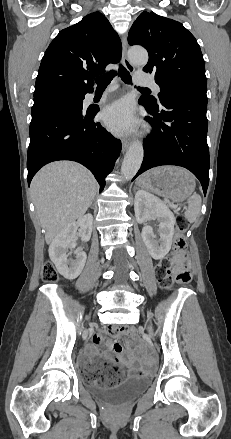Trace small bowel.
<instances>
[{
	"mask_svg": "<svg viewBox=\"0 0 231 439\" xmlns=\"http://www.w3.org/2000/svg\"><path fill=\"white\" fill-rule=\"evenodd\" d=\"M117 337L118 331L116 329H111L107 332L102 330L97 331L93 336L91 345H89L86 350L87 356L94 358L95 360L100 356V360L108 368L114 366V364H119L130 367L134 374H141L142 371L136 368L134 356L131 353H128L127 355L124 354V348L119 342H117ZM104 338L107 341L109 351L112 355L111 357L106 353L100 354L98 351V346L104 340ZM94 362L96 363V361Z\"/></svg>",
	"mask_w": 231,
	"mask_h": 439,
	"instance_id": "1",
	"label": "small bowel"
}]
</instances>
